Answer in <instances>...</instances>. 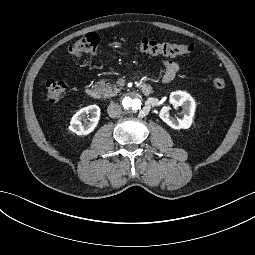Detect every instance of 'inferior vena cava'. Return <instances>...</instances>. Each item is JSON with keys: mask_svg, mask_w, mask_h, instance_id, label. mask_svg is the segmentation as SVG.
Masks as SVG:
<instances>
[{"mask_svg": "<svg viewBox=\"0 0 255 255\" xmlns=\"http://www.w3.org/2000/svg\"><path fill=\"white\" fill-rule=\"evenodd\" d=\"M107 111H108V115L111 118H118L122 113V109H121L120 105L117 103H114V102L110 103Z\"/></svg>", "mask_w": 255, "mask_h": 255, "instance_id": "inferior-vena-cava-1", "label": "inferior vena cava"}]
</instances>
